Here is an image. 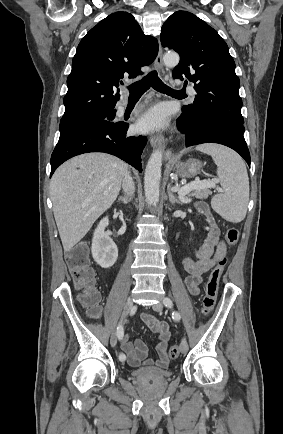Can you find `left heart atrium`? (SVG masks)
Here are the masks:
<instances>
[{
    "mask_svg": "<svg viewBox=\"0 0 283 434\" xmlns=\"http://www.w3.org/2000/svg\"><path fill=\"white\" fill-rule=\"evenodd\" d=\"M169 122V111L164 105H156L149 109L139 120L137 128L141 131H154L164 128Z\"/></svg>",
    "mask_w": 283,
    "mask_h": 434,
    "instance_id": "1",
    "label": "left heart atrium"
}]
</instances>
